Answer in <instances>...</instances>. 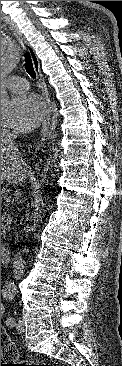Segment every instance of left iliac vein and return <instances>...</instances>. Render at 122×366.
I'll return each instance as SVG.
<instances>
[{"mask_svg":"<svg viewBox=\"0 0 122 366\" xmlns=\"http://www.w3.org/2000/svg\"><path fill=\"white\" fill-rule=\"evenodd\" d=\"M16 329L19 333H23L25 331L24 324L22 320H18L16 323Z\"/></svg>","mask_w":122,"mask_h":366,"instance_id":"4c4485c4","label":"left iliac vein"}]
</instances>
